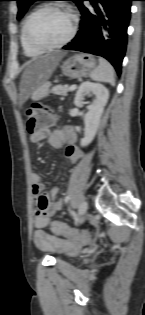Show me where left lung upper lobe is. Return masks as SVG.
Returning a JSON list of instances; mask_svg holds the SVG:
<instances>
[{
  "mask_svg": "<svg viewBox=\"0 0 145 315\" xmlns=\"http://www.w3.org/2000/svg\"><path fill=\"white\" fill-rule=\"evenodd\" d=\"M18 2V15H17V19H21L23 17V15L25 14V12L27 11L28 7L35 1L38 0H15ZM70 1H74L76 4L79 2V0H70Z\"/></svg>",
  "mask_w": 145,
  "mask_h": 315,
  "instance_id": "5c2ea615",
  "label": "left lung upper lobe"
}]
</instances>
